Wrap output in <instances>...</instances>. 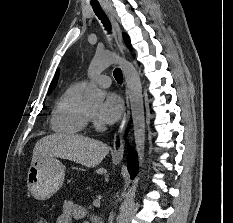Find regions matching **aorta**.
Instances as JSON below:
<instances>
[{
    "label": "aorta",
    "mask_w": 233,
    "mask_h": 223,
    "mask_svg": "<svg viewBox=\"0 0 233 223\" xmlns=\"http://www.w3.org/2000/svg\"><path fill=\"white\" fill-rule=\"evenodd\" d=\"M111 64H118L123 72L129 92V100L132 110V119L134 125V137L136 143V151L138 155L139 167H141L144 159L145 151V115L143 106L142 86L140 78L130 62H124L119 56H106V58H94L88 68V76L91 80L88 88L85 90L84 102L86 104H102L106 98L105 92L97 88L94 80L96 76L102 74ZM140 171L133 179V183L126 195L125 203L129 199H133L138 187Z\"/></svg>",
    "instance_id": "aorta-1"
}]
</instances>
